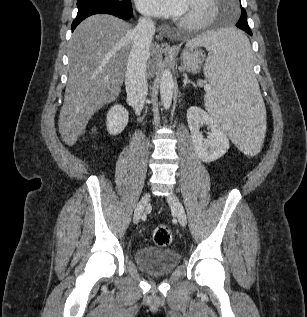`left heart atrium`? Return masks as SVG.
<instances>
[{
    "label": "left heart atrium",
    "mask_w": 307,
    "mask_h": 317,
    "mask_svg": "<svg viewBox=\"0 0 307 317\" xmlns=\"http://www.w3.org/2000/svg\"><path fill=\"white\" fill-rule=\"evenodd\" d=\"M190 0H137L139 10L154 17H180Z\"/></svg>",
    "instance_id": "left-heart-atrium-1"
}]
</instances>
